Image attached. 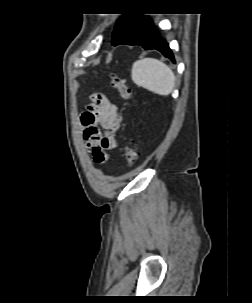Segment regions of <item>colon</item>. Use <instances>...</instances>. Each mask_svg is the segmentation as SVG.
<instances>
[{
	"mask_svg": "<svg viewBox=\"0 0 252 303\" xmlns=\"http://www.w3.org/2000/svg\"><path fill=\"white\" fill-rule=\"evenodd\" d=\"M110 81L111 86L115 88L118 93L119 97L125 101H130L132 98V90L130 87L126 84V81L124 78L117 76L116 74H110ZM123 155L126 159L127 165L129 167L134 166L136 160H137V154L136 150L132 143H127L123 147Z\"/></svg>",
	"mask_w": 252,
	"mask_h": 303,
	"instance_id": "5ec220e1",
	"label": "colon"
}]
</instances>
